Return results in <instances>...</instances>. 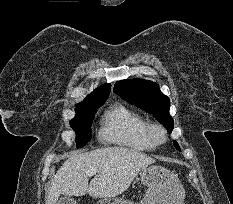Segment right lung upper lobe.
<instances>
[{
  "label": "right lung upper lobe",
  "mask_w": 233,
  "mask_h": 204,
  "mask_svg": "<svg viewBox=\"0 0 233 204\" xmlns=\"http://www.w3.org/2000/svg\"><path fill=\"white\" fill-rule=\"evenodd\" d=\"M110 89V84H105L97 88L94 92L88 95V97L83 102L76 104V109H85L94 104L105 102L109 96Z\"/></svg>",
  "instance_id": "right-lung-upper-lobe-1"
}]
</instances>
